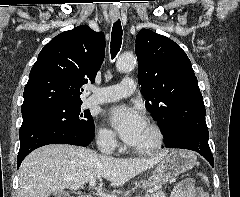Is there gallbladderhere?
<instances>
[{
  "label": "gallbladder",
  "instance_id": "obj_1",
  "mask_svg": "<svg viewBox=\"0 0 240 197\" xmlns=\"http://www.w3.org/2000/svg\"><path fill=\"white\" fill-rule=\"evenodd\" d=\"M55 197H71L66 191L55 193Z\"/></svg>",
  "mask_w": 240,
  "mask_h": 197
}]
</instances>
